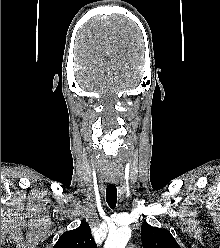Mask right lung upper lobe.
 Wrapping results in <instances>:
<instances>
[{
	"label": "right lung upper lobe",
	"instance_id": "obj_1",
	"mask_svg": "<svg viewBox=\"0 0 220 248\" xmlns=\"http://www.w3.org/2000/svg\"><path fill=\"white\" fill-rule=\"evenodd\" d=\"M53 248H96L88 223L63 233Z\"/></svg>",
	"mask_w": 220,
	"mask_h": 248
}]
</instances>
